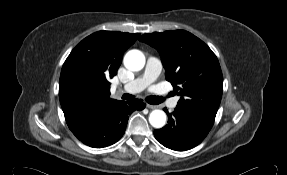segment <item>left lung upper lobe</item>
Wrapping results in <instances>:
<instances>
[{"instance_id":"5c2ea615","label":"left lung upper lobe","mask_w":287,"mask_h":175,"mask_svg":"<svg viewBox=\"0 0 287 175\" xmlns=\"http://www.w3.org/2000/svg\"><path fill=\"white\" fill-rule=\"evenodd\" d=\"M139 40L160 53L166 80L181 96L176 110L210 131L223 92L222 71L212 50L184 30L144 34Z\"/></svg>"}]
</instances>
